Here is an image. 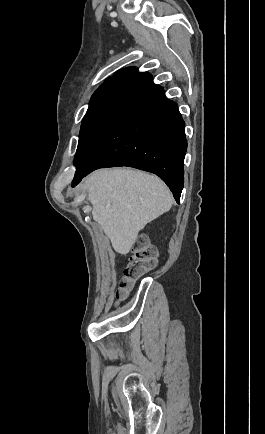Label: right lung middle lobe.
<instances>
[{"label": "right lung middle lobe", "mask_w": 265, "mask_h": 434, "mask_svg": "<svg viewBox=\"0 0 265 434\" xmlns=\"http://www.w3.org/2000/svg\"><path fill=\"white\" fill-rule=\"evenodd\" d=\"M132 78V76L109 78L93 94L87 113L82 121L78 148L74 159L75 166L86 155L110 110Z\"/></svg>", "instance_id": "1"}]
</instances>
